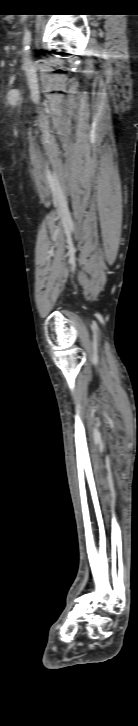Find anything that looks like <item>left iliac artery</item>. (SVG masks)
Wrapping results in <instances>:
<instances>
[{"instance_id": "left-iliac-artery-1", "label": "left iliac artery", "mask_w": 138, "mask_h": 726, "mask_svg": "<svg viewBox=\"0 0 138 726\" xmlns=\"http://www.w3.org/2000/svg\"><path fill=\"white\" fill-rule=\"evenodd\" d=\"M30 43H31V31L30 30H26L25 31V34H24V39H23V44H24L25 51H28L29 50Z\"/></svg>"}]
</instances>
